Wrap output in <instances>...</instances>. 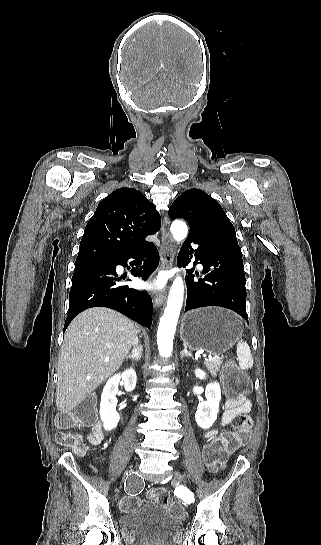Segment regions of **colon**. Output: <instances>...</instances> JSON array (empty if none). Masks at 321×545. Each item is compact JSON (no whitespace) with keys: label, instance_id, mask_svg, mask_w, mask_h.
<instances>
[{"label":"colon","instance_id":"colon-1","mask_svg":"<svg viewBox=\"0 0 321 545\" xmlns=\"http://www.w3.org/2000/svg\"><path fill=\"white\" fill-rule=\"evenodd\" d=\"M223 386L229 398H239L250 390L249 379L236 367L229 363L225 366L222 376ZM94 420V401L86 399L74 409L60 415L57 424L65 429L59 432L55 440L57 444L71 448L76 454L83 455L85 446L81 429L69 430L75 426L86 427ZM253 425L249 414L243 413L236 417L233 429L215 438L205 446L203 457L208 466L216 471L220 468L226 457L243 446L248 438ZM148 497L166 507L176 517H182V507L171 500L169 492L163 487L153 488L148 492ZM142 504V499L136 495H127L120 502V509L124 512L133 510Z\"/></svg>","mask_w":321,"mask_h":545}]
</instances>
